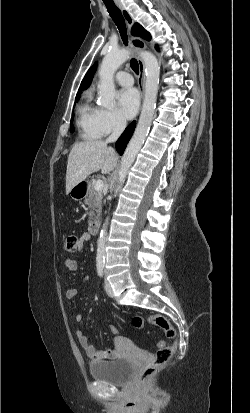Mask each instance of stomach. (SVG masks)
<instances>
[{
  "instance_id": "obj_1",
  "label": "stomach",
  "mask_w": 250,
  "mask_h": 413,
  "mask_svg": "<svg viewBox=\"0 0 250 413\" xmlns=\"http://www.w3.org/2000/svg\"><path fill=\"white\" fill-rule=\"evenodd\" d=\"M70 194L75 200H80L84 198L86 195V182L82 181L78 183L76 186L72 188Z\"/></svg>"
}]
</instances>
